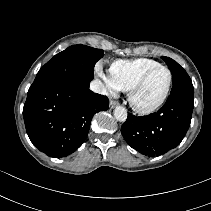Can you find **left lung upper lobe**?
Listing matches in <instances>:
<instances>
[{"label": "left lung upper lobe", "mask_w": 211, "mask_h": 211, "mask_svg": "<svg viewBox=\"0 0 211 211\" xmlns=\"http://www.w3.org/2000/svg\"><path fill=\"white\" fill-rule=\"evenodd\" d=\"M168 65L173 79L172 93H189L194 94L192 81L185 69L181 67L176 61L169 57H161Z\"/></svg>", "instance_id": "left-lung-upper-lobe-1"}]
</instances>
